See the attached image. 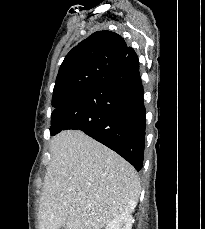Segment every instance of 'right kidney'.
<instances>
[{"label":"right kidney","mask_w":205,"mask_h":229,"mask_svg":"<svg viewBox=\"0 0 205 229\" xmlns=\"http://www.w3.org/2000/svg\"><path fill=\"white\" fill-rule=\"evenodd\" d=\"M132 222L130 213L125 212L115 217L105 229H132Z\"/></svg>","instance_id":"ca27d5eb"}]
</instances>
